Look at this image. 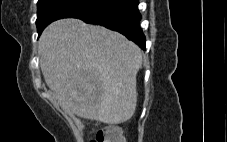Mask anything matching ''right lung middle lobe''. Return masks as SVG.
<instances>
[{
	"label": "right lung middle lobe",
	"mask_w": 227,
	"mask_h": 142,
	"mask_svg": "<svg viewBox=\"0 0 227 142\" xmlns=\"http://www.w3.org/2000/svg\"><path fill=\"white\" fill-rule=\"evenodd\" d=\"M112 0H39L37 3V30L40 34L51 22L68 17H77L99 9Z\"/></svg>",
	"instance_id": "right-lung-middle-lobe-1"
}]
</instances>
